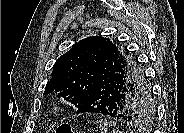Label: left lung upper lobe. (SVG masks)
<instances>
[{"label":"left lung upper lobe","instance_id":"1","mask_svg":"<svg viewBox=\"0 0 184 133\" xmlns=\"http://www.w3.org/2000/svg\"><path fill=\"white\" fill-rule=\"evenodd\" d=\"M104 52L107 59L113 60L120 68L130 89L142 84L149 90V92H142L136 89L130 97L127 108L132 116L131 122L138 127H143L152 119L155 111L151 90L143 70L137 60L126 50L105 37L94 36L82 39L58 58L44 94L59 92L58 97H63L79 108L89 97L101 73L98 65L100 55Z\"/></svg>","mask_w":184,"mask_h":133}]
</instances>
